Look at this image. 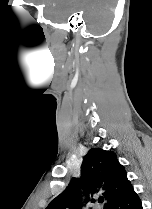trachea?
Here are the masks:
<instances>
[{
    "label": "trachea",
    "instance_id": "1",
    "mask_svg": "<svg viewBox=\"0 0 152 209\" xmlns=\"http://www.w3.org/2000/svg\"><path fill=\"white\" fill-rule=\"evenodd\" d=\"M103 201H104V198L103 197H100L99 198V203H103Z\"/></svg>",
    "mask_w": 152,
    "mask_h": 209
}]
</instances>
